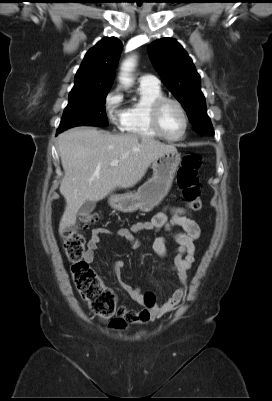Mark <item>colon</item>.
I'll return each mask as SVG.
<instances>
[{
  "label": "colon",
  "mask_w": 272,
  "mask_h": 401,
  "mask_svg": "<svg viewBox=\"0 0 272 401\" xmlns=\"http://www.w3.org/2000/svg\"><path fill=\"white\" fill-rule=\"evenodd\" d=\"M201 165V156L195 153L188 154L182 159L177 171V184L181 189L187 206L192 211H198L202 207L200 189L198 184V170ZM99 221L97 213H89L80 216L77 224L66 231L64 239V251L71 262V272L74 283L81 297L90 305L94 313L103 319L120 316L121 307L117 305V298L112 290L104 286L100 278L90 268L85 255V237L82 230L96 224ZM147 306H153L151 295H147Z\"/></svg>",
  "instance_id": "colon-1"
}]
</instances>
